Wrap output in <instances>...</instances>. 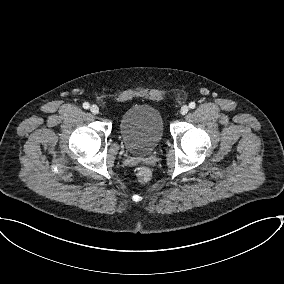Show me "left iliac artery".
Segmentation results:
<instances>
[{
    "mask_svg": "<svg viewBox=\"0 0 284 284\" xmlns=\"http://www.w3.org/2000/svg\"><path fill=\"white\" fill-rule=\"evenodd\" d=\"M195 106H196L195 102H190V103H189V107H190L191 109H194Z\"/></svg>",
    "mask_w": 284,
    "mask_h": 284,
    "instance_id": "44dca946",
    "label": "left iliac artery"
}]
</instances>
